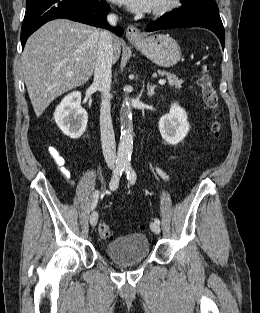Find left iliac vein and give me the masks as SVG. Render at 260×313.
<instances>
[{
  "instance_id": "4c4485c4",
  "label": "left iliac vein",
  "mask_w": 260,
  "mask_h": 313,
  "mask_svg": "<svg viewBox=\"0 0 260 313\" xmlns=\"http://www.w3.org/2000/svg\"><path fill=\"white\" fill-rule=\"evenodd\" d=\"M150 229L152 230V232H154L155 234H159L160 233V226L155 223V222H151L150 223Z\"/></svg>"
}]
</instances>
